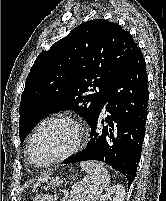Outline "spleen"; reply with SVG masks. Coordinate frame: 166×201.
Here are the masks:
<instances>
[{"mask_svg":"<svg viewBox=\"0 0 166 201\" xmlns=\"http://www.w3.org/2000/svg\"><path fill=\"white\" fill-rule=\"evenodd\" d=\"M80 166L87 175L71 188L69 201H96L110 182V175L100 163L87 161ZM41 201H51V197L45 195Z\"/></svg>","mask_w":166,"mask_h":201,"instance_id":"obj_1","label":"spleen"}]
</instances>
